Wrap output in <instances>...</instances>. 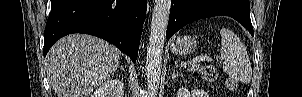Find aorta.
I'll list each match as a JSON object with an SVG mask.
<instances>
[{"instance_id": "762f6f07", "label": "aorta", "mask_w": 302, "mask_h": 97, "mask_svg": "<svg viewBox=\"0 0 302 97\" xmlns=\"http://www.w3.org/2000/svg\"><path fill=\"white\" fill-rule=\"evenodd\" d=\"M171 0H155L146 55L148 90L158 92L162 68V53L170 14Z\"/></svg>"}]
</instances>
